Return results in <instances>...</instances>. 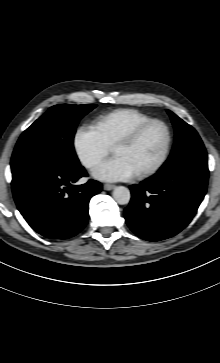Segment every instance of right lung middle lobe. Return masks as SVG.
Instances as JSON below:
<instances>
[{
	"label": "right lung middle lobe",
	"mask_w": 220,
	"mask_h": 363,
	"mask_svg": "<svg viewBox=\"0 0 220 363\" xmlns=\"http://www.w3.org/2000/svg\"><path fill=\"white\" fill-rule=\"evenodd\" d=\"M95 107V104H59L49 108L20 136L11 159L12 174L36 165L67 170L81 166L73 138L79 120Z\"/></svg>",
	"instance_id": "right-lung-middle-lobe-1"
}]
</instances>
